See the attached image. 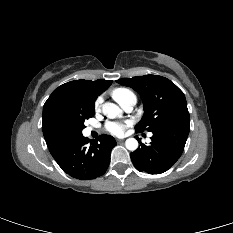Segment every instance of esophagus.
<instances>
[{"label":"esophagus","instance_id":"34e87169","mask_svg":"<svg viewBox=\"0 0 233 233\" xmlns=\"http://www.w3.org/2000/svg\"><path fill=\"white\" fill-rule=\"evenodd\" d=\"M121 142H123L122 139H117V143H121Z\"/></svg>","mask_w":233,"mask_h":233}]
</instances>
